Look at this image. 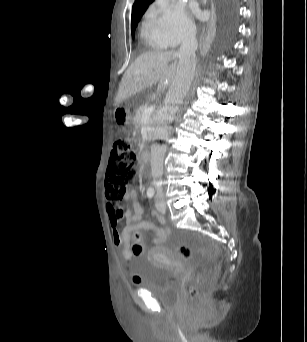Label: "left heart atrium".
Listing matches in <instances>:
<instances>
[{
  "mask_svg": "<svg viewBox=\"0 0 307 342\" xmlns=\"http://www.w3.org/2000/svg\"><path fill=\"white\" fill-rule=\"evenodd\" d=\"M198 15V12L197 10L195 9H192L191 12L188 14V17L191 19L192 16H197Z\"/></svg>",
  "mask_w": 307,
  "mask_h": 342,
  "instance_id": "1",
  "label": "left heart atrium"
}]
</instances>
